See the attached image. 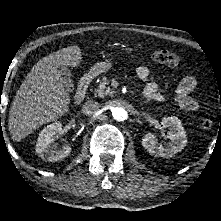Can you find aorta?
Returning a JSON list of instances; mask_svg holds the SVG:
<instances>
[{
	"label": "aorta",
	"instance_id": "1",
	"mask_svg": "<svg viewBox=\"0 0 221 221\" xmlns=\"http://www.w3.org/2000/svg\"><path fill=\"white\" fill-rule=\"evenodd\" d=\"M113 118L117 121H124L127 118V112L124 108L116 107L112 111Z\"/></svg>",
	"mask_w": 221,
	"mask_h": 221
}]
</instances>
